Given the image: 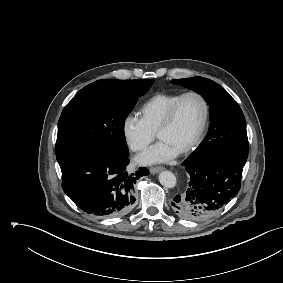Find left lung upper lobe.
<instances>
[{"label": "left lung upper lobe", "mask_w": 283, "mask_h": 283, "mask_svg": "<svg viewBox=\"0 0 283 283\" xmlns=\"http://www.w3.org/2000/svg\"><path fill=\"white\" fill-rule=\"evenodd\" d=\"M172 83L201 94L210 106L208 134L186 161L214 155H233L247 159L246 121L240 106L229 93L214 81L202 77L174 79Z\"/></svg>", "instance_id": "5c2ea615"}]
</instances>
